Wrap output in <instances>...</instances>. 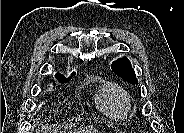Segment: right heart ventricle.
<instances>
[{"label": "right heart ventricle", "instance_id": "e07e8e85", "mask_svg": "<svg viewBox=\"0 0 184 133\" xmlns=\"http://www.w3.org/2000/svg\"><path fill=\"white\" fill-rule=\"evenodd\" d=\"M95 100L98 108L113 118H123L129 108L126 93L112 83H104L100 87Z\"/></svg>", "mask_w": 184, "mask_h": 133}]
</instances>
